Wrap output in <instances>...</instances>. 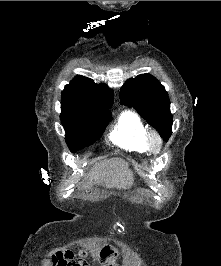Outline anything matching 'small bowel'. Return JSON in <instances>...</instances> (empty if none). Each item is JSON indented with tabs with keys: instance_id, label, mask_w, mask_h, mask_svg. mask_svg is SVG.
Here are the masks:
<instances>
[{
	"instance_id": "c3829d8e",
	"label": "small bowel",
	"mask_w": 221,
	"mask_h": 266,
	"mask_svg": "<svg viewBox=\"0 0 221 266\" xmlns=\"http://www.w3.org/2000/svg\"><path fill=\"white\" fill-rule=\"evenodd\" d=\"M60 250H65V247H60ZM76 252H50L51 261L50 266H90L87 262L81 258H75Z\"/></svg>"
}]
</instances>
